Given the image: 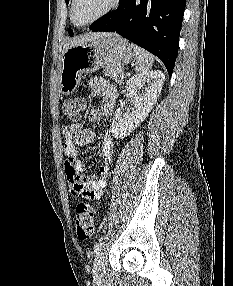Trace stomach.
Wrapping results in <instances>:
<instances>
[{
	"mask_svg": "<svg viewBox=\"0 0 233 286\" xmlns=\"http://www.w3.org/2000/svg\"><path fill=\"white\" fill-rule=\"evenodd\" d=\"M130 43L116 34H107L70 47L63 52L59 63L60 91L73 93L80 85L83 73L100 68L122 67L134 58Z\"/></svg>",
	"mask_w": 233,
	"mask_h": 286,
	"instance_id": "1",
	"label": "stomach"
}]
</instances>
